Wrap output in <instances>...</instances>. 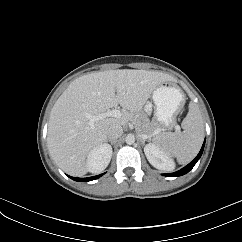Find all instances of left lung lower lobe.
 <instances>
[{
    "mask_svg": "<svg viewBox=\"0 0 242 242\" xmlns=\"http://www.w3.org/2000/svg\"><path fill=\"white\" fill-rule=\"evenodd\" d=\"M204 144H205V142L203 143V146H202L200 152L198 153V155L187 166H185L184 168H182L181 170H179L177 172H174V173H171V174H163V175L164 176H181V175L188 173L194 167V165L197 163V161L200 159L202 152H203V149H204Z\"/></svg>",
    "mask_w": 242,
    "mask_h": 242,
    "instance_id": "0a47b994",
    "label": "left lung lower lobe"
}]
</instances>
